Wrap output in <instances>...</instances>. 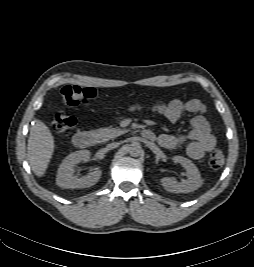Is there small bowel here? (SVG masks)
Wrapping results in <instances>:
<instances>
[{"instance_id":"small-bowel-1","label":"small bowel","mask_w":254,"mask_h":267,"mask_svg":"<svg viewBox=\"0 0 254 267\" xmlns=\"http://www.w3.org/2000/svg\"><path fill=\"white\" fill-rule=\"evenodd\" d=\"M133 106L132 109H137ZM206 107L198 99H191L186 102L178 99L172 100L164 110V116L171 122H177L181 117L190 113L193 117L190 120L191 130L187 134H160L157 137L158 143L167 149H172L188 142L187 154L192 159H201L204 155L216 146V136L212 132L211 125L205 117Z\"/></svg>"}]
</instances>
